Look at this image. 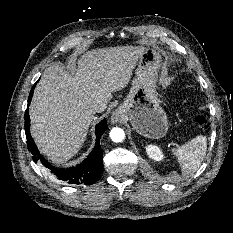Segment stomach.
<instances>
[{"mask_svg":"<svg viewBox=\"0 0 233 233\" xmlns=\"http://www.w3.org/2000/svg\"><path fill=\"white\" fill-rule=\"evenodd\" d=\"M160 62L161 55L156 49L143 48L130 92L115 114L117 118L129 121L137 133L150 139H160L168 131L167 115L155 89Z\"/></svg>","mask_w":233,"mask_h":233,"instance_id":"stomach-1","label":"stomach"}]
</instances>
